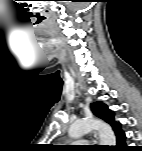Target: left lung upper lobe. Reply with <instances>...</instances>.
<instances>
[{"label":"left lung upper lobe","instance_id":"1","mask_svg":"<svg viewBox=\"0 0 142 151\" xmlns=\"http://www.w3.org/2000/svg\"><path fill=\"white\" fill-rule=\"evenodd\" d=\"M91 110L97 117L103 119L112 126L116 136L122 132L121 124L115 121L114 113L108 109L107 105L98 101L91 104Z\"/></svg>","mask_w":142,"mask_h":151}]
</instances>
